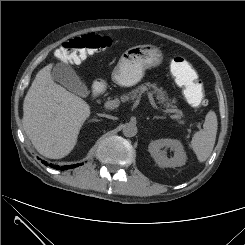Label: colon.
Returning a JSON list of instances; mask_svg holds the SVG:
<instances>
[{
  "instance_id": "5ec220e1",
  "label": "colon",
  "mask_w": 245,
  "mask_h": 245,
  "mask_svg": "<svg viewBox=\"0 0 245 245\" xmlns=\"http://www.w3.org/2000/svg\"><path fill=\"white\" fill-rule=\"evenodd\" d=\"M111 41L106 36L89 33L72 38L65 42L57 51V57L62 61L79 63L87 56L109 47ZM177 61L178 71L184 67L185 59H173ZM172 73L173 67L171 65ZM177 82L182 86L187 102L193 107H200L205 104V91L203 82L197 77L184 78L180 73H173Z\"/></svg>"
}]
</instances>
